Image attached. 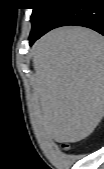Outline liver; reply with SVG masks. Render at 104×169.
Returning <instances> with one entry per match:
<instances>
[{"mask_svg": "<svg viewBox=\"0 0 104 169\" xmlns=\"http://www.w3.org/2000/svg\"><path fill=\"white\" fill-rule=\"evenodd\" d=\"M31 54L42 135L66 143L85 139L104 115L103 36L62 27L40 38Z\"/></svg>", "mask_w": 104, "mask_h": 169, "instance_id": "6515ba94", "label": "liver"}]
</instances>
